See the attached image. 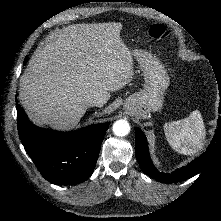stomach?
<instances>
[{
	"label": "stomach",
	"instance_id": "0dacf381",
	"mask_svg": "<svg viewBox=\"0 0 221 221\" xmlns=\"http://www.w3.org/2000/svg\"><path fill=\"white\" fill-rule=\"evenodd\" d=\"M145 80L144 88L126 100V109L141 118L162 108L170 78L163 64L149 52L133 51Z\"/></svg>",
	"mask_w": 221,
	"mask_h": 221
}]
</instances>
